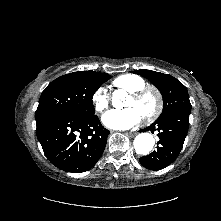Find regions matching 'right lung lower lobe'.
Masks as SVG:
<instances>
[{
    "instance_id": "obj_1",
    "label": "right lung lower lobe",
    "mask_w": 221,
    "mask_h": 221,
    "mask_svg": "<svg viewBox=\"0 0 221 221\" xmlns=\"http://www.w3.org/2000/svg\"><path fill=\"white\" fill-rule=\"evenodd\" d=\"M110 132L99 118L58 116L37 124L36 135L49 161L67 172L91 169L101 157Z\"/></svg>"
}]
</instances>
